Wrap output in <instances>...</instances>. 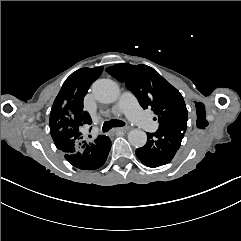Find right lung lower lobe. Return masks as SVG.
<instances>
[{"mask_svg":"<svg viewBox=\"0 0 241 241\" xmlns=\"http://www.w3.org/2000/svg\"><path fill=\"white\" fill-rule=\"evenodd\" d=\"M110 148L111 140L109 137L99 136L93 142L79 145L75 152L64 154V156L76 168L96 170L106 162Z\"/></svg>","mask_w":241,"mask_h":241,"instance_id":"1","label":"right lung lower lobe"}]
</instances>
